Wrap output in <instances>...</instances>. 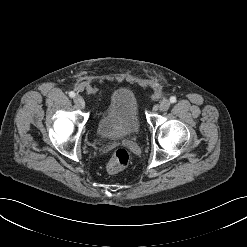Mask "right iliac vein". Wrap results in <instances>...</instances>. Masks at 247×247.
Returning <instances> with one entry per match:
<instances>
[{"label":"right iliac vein","instance_id":"right-iliac-vein-1","mask_svg":"<svg viewBox=\"0 0 247 247\" xmlns=\"http://www.w3.org/2000/svg\"><path fill=\"white\" fill-rule=\"evenodd\" d=\"M74 102H75V104H76L78 107H80V108H84V107H85V101H84V99H83L81 96H79V95H77V96L74 97Z\"/></svg>","mask_w":247,"mask_h":247}]
</instances>
